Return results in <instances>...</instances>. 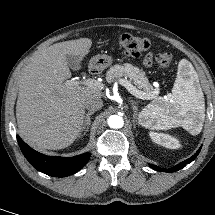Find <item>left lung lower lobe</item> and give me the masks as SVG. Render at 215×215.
Returning a JSON list of instances; mask_svg holds the SVG:
<instances>
[{
  "label": "left lung lower lobe",
  "instance_id": "0a47b994",
  "mask_svg": "<svg viewBox=\"0 0 215 215\" xmlns=\"http://www.w3.org/2000/svg\"><path fill=\"white\" fill-rule=\"evenodd\" d=\"M200 149H201V147L191 158L179 163L178 165H176L170 169H163V168L157 167L153 164H151L150 167L154 170L161 171V172H176V171L182 169L183 167H185L187 164L191 163L196 158V156L199 154Z\"/></svg>",
  "mask_w": 215,
  "mask_h": 215
}]
</instances>
